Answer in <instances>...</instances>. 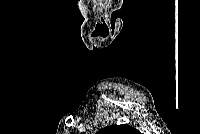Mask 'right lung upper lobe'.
<instances>
[{
	"mask_svg": "<svg viewBox=\"0 0 200 134\" xmlns=\"http://www.w3.org/2000/svg\"><path fill=\"white\" fill-rule=\"evenodd\" d=\"M99 134H139L140 132L129 125H114L101 129Z\"/></svg>",
	"mask_w": 200,
	"mask_h": 134,
	"instance_id": "cb5924a9",
	"label": "right lung upper lobe"
}]
</instances>
